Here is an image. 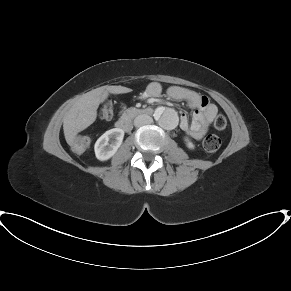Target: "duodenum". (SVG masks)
Masks as SVG:
<instances>
[{"label":"duodenum","mask_w":291,"mask_h":291,"mask_svg":"<svg viewBox=\"0 0 291 291\" xmlns=\"http://www.w3.org/2000/svg\"><path fill=\"white\" fill-rule=\"evenodd\" d=\"M154 110L152 108H135L128 110L117 122V128L122 132L130 130V118L139 115H151Z\"/></svg>","instance_id":"410a0bca"}]
</instances>
